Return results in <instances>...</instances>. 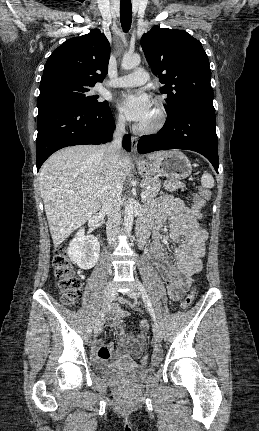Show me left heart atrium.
<instances>
[{"mask_svg":"<svg viewBox=\"0 0 259 431\" xmlns=\"http://www.w3.org/2000/svg\"><path fill=\"white\" fill-rule=\"evenodd\" d=\"M119 109L130 121L143 123L151 114L152 101L144 92H128L121 96Z\"/></svg>","mask_w":259,"mask_h":431,"instance_id":"39dd6f15","label":"left heart atrium"}]
</instances>
